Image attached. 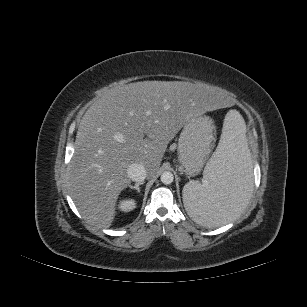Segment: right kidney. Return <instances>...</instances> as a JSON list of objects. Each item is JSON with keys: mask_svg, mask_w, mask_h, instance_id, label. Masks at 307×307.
<instances>
[{"mask_svg": "<svg viewBox=\"0 0 307 307\" xmlns=\"http://www.w3.org/2000/svg\"><path fill=\"white\" fill-rule=\"evenodd\" d=\"M136 208V202L133 199H125L120 202L119 209L123 212H129Z\"/></svg>", "mask_w": 307, "mask_h": 307, "instance_id": "1", "label": "right kidney"}]
</instances>
